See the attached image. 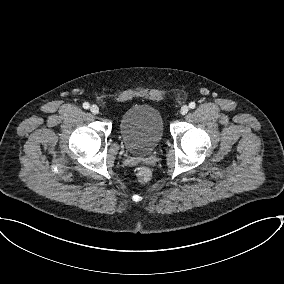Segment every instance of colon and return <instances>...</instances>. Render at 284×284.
Returning <instances> with one entry per match:
<instances>
[{
	"label": "colon",
	"instance_id": "obj_1",
	"mask_svg": "<svg viewBox=\"0 0 284 284\" xmlns=\"http://www.w3.org/2000/svg\"><path fill=\"white\" fill-rule=\"evenodd\" d=\"M136 178L140 183H146L151 178V171L147 167H139L136 171Z\"/></svg>",
	"mask_w": 284,
	"mask_h": 284
}]
</instances>
